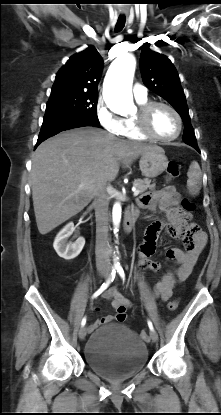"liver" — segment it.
I'll return each mask as SVG.
<instances>
[{
    "label": "liver",
    "instance_id": "1",
    "mask_svg": "<svg viewBox=\"0 0 221 415\" xmlns=\"http://www.w3.org/2000/svg\"><path fill=\"white\" fill-rule=\"evenodd\" d=\"M155 147L121 140L93 127L65 131L44 141L32 156L30 173L40 234L83 210L100 186L117 177L120 163L128 167Z\"/></svg>",
    "mask_w": 221,
    "mask_h": 415
}]
</instances>
